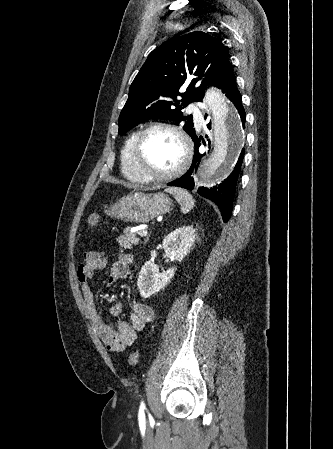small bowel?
<instances>
[{
	"mask_svg": "<svg viewBox=\"0 0 333 449\" xmlns=\"http://www.w3.org/2000/svg\"><path fill=\"white\" fill-rule=\"evenodd\" d=\"M107 262V258L101 252H86L78 267L77 277L87 315L98 336L109 350L121 352L135 343L138 332L143 330L145 325L153 320L154 310L150 305L135 303L131 308L128 320H118L115 327L104 322L95 303L89 280L96 271L104 269L107 266ZM130 262L131 258L127 255L120 256L115 260L110 266L106 285L112 286L124 278L127 275ZM122 309L120 304H116L111 311L115 316H118Z\"/></svg>",
	"mask_w": 333,
	"mask_h": 449,
	"instance_id": "c3829d8e",
	"label": "small bowel"
}]
</instances>
